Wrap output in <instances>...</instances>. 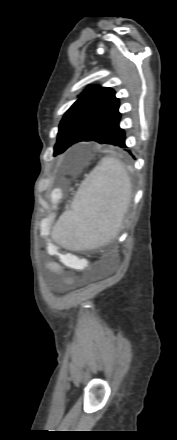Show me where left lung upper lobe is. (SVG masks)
Segmentation results:
<instances>
[{
  "label": "left lung upper lobe",
  "instance_id": "left-lung-upper-lobe-1",
  "mask_svg": "<svg viewBox=\"0 0 177 440\" xmlns=\"http://www.w3.org/2000/svg\"><path fill=\"white\" fill-rule=\"evenodd\" d=\"M119 100L111 88L91 85L65 113L59 125L54 155L64 152L97 127L119 114Z\"/></svg>",
  "mask_w": 177,
  "mask_h": 440
}]
</instances>
